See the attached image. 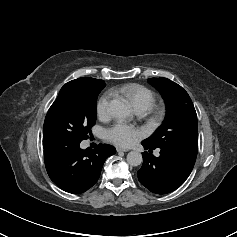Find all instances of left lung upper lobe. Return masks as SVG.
Returning <instances> with one entry per match:
<instances>
[{"instance_id": "1", "label": "left lung upper lobe", "mask_w": 237, "mask_h": 237, "mask_svg": "<svg viewBox=\"0 0 237 237\" xmlns=\"http://www.w3.org/2000/svg\"><path fill=\"white\" fill-rule=\"evenodd\" d=\"M165 100L167 113L163 124L143 142L152 148H198V123L188 93L167 78H149Z\"/></svg>"}]
</instances>
